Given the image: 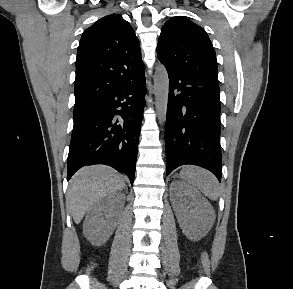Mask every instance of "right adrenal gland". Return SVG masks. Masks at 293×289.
I'll list each match as a JSON object with an SVG mask.
<instances>
[{
    "label": "right adrenal gland",
    "instance_id": "1",
    "mask_svg": "<svg viewBox=\"0 0 293 289\" xmlns=\"http://www.w3.org/2000/svg\"><path fill=\"white\" fill-rule=\"evenodd\" d=\"M124 189L126 190V192L128 191L126 186L124 187Z\"/></svg>",
    "mask_w": 293,
    "mask_h": 289
}]
</instances>
